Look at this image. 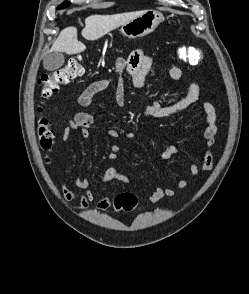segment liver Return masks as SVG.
Returning a JSON list of instances; mask_svg holds the SVG:
<instances>
[{
    "label": "liver",
    "instance_id": "obj_1",
    "mask_svg": "<svg viewBox=\"0 0 249 294\" xmlns=\"http://www.w3.org/2000/svg\"><path fill=\"white\" fill-rule=\"evenodd\" d=\"M145 11H135L114 15H92L85 19L82 36L90 41L98 40L110 31L127 24L144 14ZM86 46L78 41L76 27L63 29L53 43L50 52H64L68 55L83 52Z\"/></svg>",
    "mask_w": 249,
    "mask_h": 294
}]
</instances>
